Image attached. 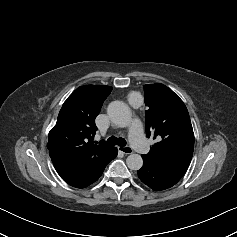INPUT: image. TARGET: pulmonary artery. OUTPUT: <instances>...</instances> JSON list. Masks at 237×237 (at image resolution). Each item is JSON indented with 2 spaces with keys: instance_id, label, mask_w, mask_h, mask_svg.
I'll list each match as a JSON object with an SVG mask.
<instances>
[{
  "instance_id": "1",
  "label": "pulmonary artery",
  "mask_w": 237,
  "mask_h": 237,
  "mask_svg": "<svg viewBox=\"0 0 237 237\" xmlns=\"http://www.w3.org/2000/svg\"><path fill=\"white\" fill-rule=\"evenodd\" d=\"M129 141L131 146L142 154H146L149 151L148 144L143 135L142 123L138 119H134L130 131Z\"/></svg>"
}]
</instances>
